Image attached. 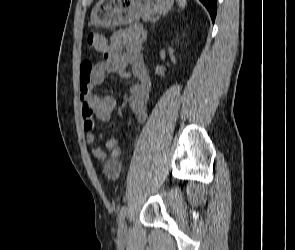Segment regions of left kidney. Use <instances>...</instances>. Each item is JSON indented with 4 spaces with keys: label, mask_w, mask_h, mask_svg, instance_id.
Here are the masks:
<instances>
[{
    "label": "left kidney",
    "mask_w": 295,
    "mask_h": 250,
    "mask_svg": "<svg viewBox=\"0 0 295 250\" xmlns=\"http://www.w3.org/2000/svg\"><path fill=\"white\" fill-rule=\"evenodd\" d=\"M164 72H165V68L162 66H157L155 69V73L158 75L162 76V75H164Z\"/></svg>",
    "instance_id": "left-kidney-1"
}]
</instances>
